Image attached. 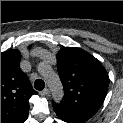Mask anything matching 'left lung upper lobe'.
Instances as JSON below:
<instances>
[{
    "instance_id": "1",
    "label": "left lung upper lobe",
    "mask_w": 123,
    "mask_h": 123,
    "mask_svg": "<svg viewBox=\"0 0 123 123\" xmlns=\"http://www.w3.org/2000/svg\"><path fill=\"white\" fill-rule=\"evenodd\" d=\"M57 66L65 94L61 103L53 102L54 111L67 123L89 120L104 102L109 86L106 69L94 56L75 47L58 52Z\"/></svg>"
}]
</instances>
